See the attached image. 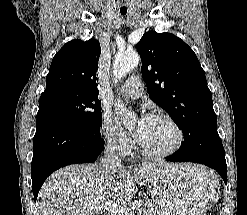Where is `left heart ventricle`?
<instances>
[{
    "instance_id": "1",
    "label": "left heart ventricle",
    "mask_w": 247,
    "mask_h": 215,
    "mask_svg": "<svg viewBox=\"0 0 247 215\" xmlns=\"http://www.w3.org/2000/svg\"><path fill=\"white\" fill-rule=\"evenodd\" d=\"M137 139L147 150L161 152L173 146L176 141V133L168 123L153 118Z\"/></svg>"
}]
</instances>
